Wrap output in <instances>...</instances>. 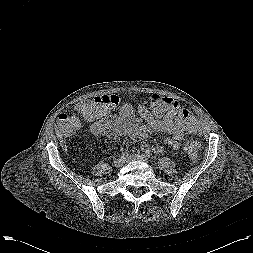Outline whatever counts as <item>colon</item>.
I'll return each mask as SVG.
<instances>
[{
	"label": "colon",
	"mask_w": 253,
	"mask_h": 253,
	"mask_svg": "<svg viewBox=\"0 0 253 253\" xmlns=\"http://www.w3.org/2000/svg\"><path fill=\"white\" fill-rule=\"evenodd\" d=\"M149 108L142 107L144 116L147 118H167L178 121L185 129L194 130L198 126L196 117L187 109L181 108L173 98L157 94L149 98ZM128 105L117 95L105 94L78 103L73 112L62 113L58 117V125L65 136L77 133L82 119H96L109 110ZM201 148L197 140L188 139L184 144V152L191 160H196Z\"/></svg>",
	"instance_id": "obj_1"
}]
</instances>
